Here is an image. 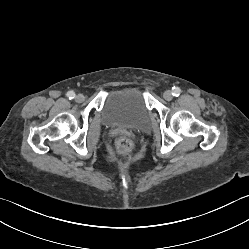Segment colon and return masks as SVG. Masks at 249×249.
Here are the masks:
<instances>
[{"label":"colon","instance_id":"5ec220e1","mask_svg":"<svg viewBox=\"0 0 249 249\" xmlns=\"http://www.w3.org/2000/svg\"><path fill=\"white\" fill-rule=\"evenodd\" d=\"M118 153L123 157H128L132 151V142L127 137H121L116 143Z\"/></svg>","mask_w":249,"mask_h":249}]
</instances>
